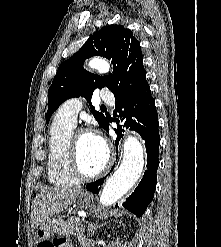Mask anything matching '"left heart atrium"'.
<instances>
[{
	"mask_svg": "<svg viewBox=\"0 0 221 247\" xmlns=\"http://www.w3.org/2000/svg\"><path fill=\"white\" fill-rule=\"evenodd\" d=\"M98 140H100L101 142H103L102 141V138L100 137V136H98V135H96V134H93Z\"/></svg>",
	"mask_w": 221,
	"mask_h": 247,
	"instance_id": "1",
	"label": "left heart atrium"
}]
</instances>
